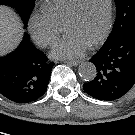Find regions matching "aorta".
Returning <instances> with one entry per match:
<instances>
[{
	"label": "aorta",
	"mask_w": 135,
	"mask_h": 135,
	"mask_svg": "<svg viewBox=\"0 0 135 135\" xmlns=\"http://www.w3.org/2000/svg\"><path fill=\"white\" fill-rule=\"evenodd\" d=\"M97 70L92 62H83L79 66V75L84 81H91L96 77Z\"/></svg>",
	"instance_id": "1"
}]
</instances>
